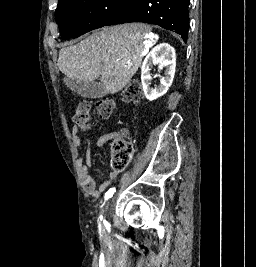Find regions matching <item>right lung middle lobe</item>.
Listing matches in <instances>:
<instances>
[{
  "mask_svg": "<svg viewBox=\"0 0 256 267\" xmlns=\"http://www.w3.org/2000/svg\"><path fill=\"white\" fill-rule=\"evenodd\" d=\"M138 0H60L55 19L62 39L78 37L129 14Z\"/></svg>",
  "mask_w": 256,
  "mask_h": 267,
  "instance_id": "1",
  "label": "right lung middle lobe"
}]
</instances>
